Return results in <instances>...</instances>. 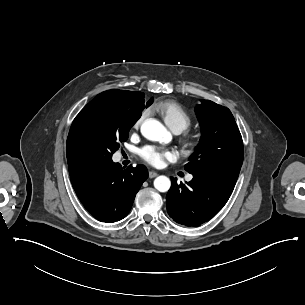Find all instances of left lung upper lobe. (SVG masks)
<instances>
[{"instance_id":"1","label":"left lung upper lobe","mask_w":305,"mask_h":305,"mask_svg":"<svg viewBox=\"0 0 305 305\" xmlns=\"http://www.w3.org/2000/svg\"><path fill=\"white\" fill-rule=\"evenodd\" d=\"M195 112L202 136L185 170L189 173L238 178L244 151L242 137L232 113L210 100H202Z\"/></svg>"}]
</instances>
